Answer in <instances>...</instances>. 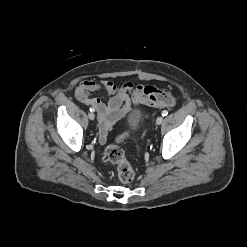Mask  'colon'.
Here are the masks:
<instances>
[{
  "label": "colon",
  "instance_id": "obj_1",
  "mask_svg": "<svg viewBox=\"0 0 247 247\" xmlns=\"http://www.w3.org/2000/svg\"><path fill=\"white\" fill-rule=\"evenodd\" d=\"M127 137V132L120 134L116 138L115 143L106 147L104 153L105 161L117 164L119 179L126 184L131 183L135 178V172L130 163L127 161L124 151L120 146V144L125 141Z\"/></svg>",
  "mask_w": 247,
  "mask_h": 247
}]
</instances>
